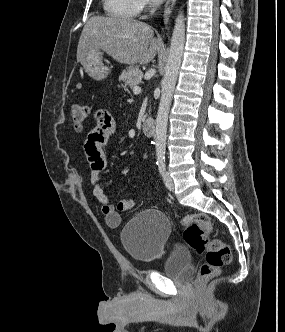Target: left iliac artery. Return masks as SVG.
Instances as JSON below:
<instances>
[{"mask_svg":"<svg viewBox=\"0 0 285 332\" xmlns=\"http://www.w3.org/2000/svg\"><path fill=\"white\" fill-rule=\"evenodd\" d=\"M157 165H158V170H159L160 174L164 175V173H165V162L161 160V161L157 162Z\"/></svg>","mask_w":285,"mask_h":332,"instance_id":"obj_1","label":"left iliac artery"}]
</instances>
